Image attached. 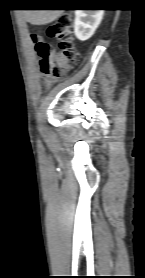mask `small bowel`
Returning a JSON list of instances; mask_svg holds the SVG:
<instances>
[{"instance_id": "c3829d8e", "label": "small bowel", "mask_w": 145, "mask_h": 278, "mask_svg": "<svg viewBox=\"0 0 145 278\" xmlns=\"http://www.w3.org/2000/svg\"><path fill=\"white\" fill-rule=\"evenodd\" d=\"M45 81H46L47 85H50L51 83H53L55 81V79H53L51 77H46Z\"/></svg>"}]
</instances>
